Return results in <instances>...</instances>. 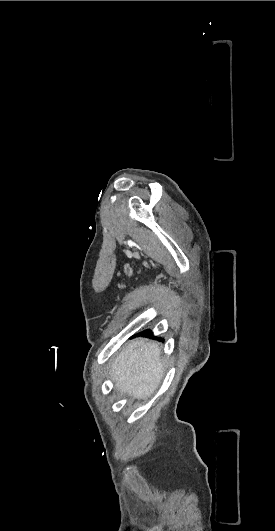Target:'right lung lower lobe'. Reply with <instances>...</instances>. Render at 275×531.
Returning a JSON list of instances; mask_svg holds the SVG:
<instances>
[{
	"mask_svg": "<svg viewBox=\"0 0 275 531\" xmlns=\"http://www.w3.org/2000/svg\"><path fill=\"white\" fill-rule=\"evenodd\" d=\"M140 335L148 337V336L152 335V332L150 330H145V331L137 334V336H140Z\"/></svg>",
	"mask_w": 275,
	"mask_h": 531,
	"instance_id": "obj_1",
	"label": "right lung lower lobe"
}]
</instances>
